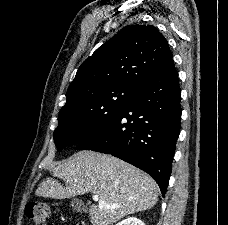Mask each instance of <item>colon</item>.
I'll list each match as a JSON object with an SVG mask.
<instances>
[{
  "mask_svg": "<svg viewBox=\"0 0 228 225\" xmlns=\"http://www.w3.org/2000/svg\"><path fill=\"white\" fill-rule=\"evenodd\" d=\"M26 215L32 221L33 225H49L50 209L42 201L31 200L26 207Z\"/></svg>",
  "mask_w": 228,
  "mask_h": 225,
  "instance_id": "5ec220e1",
  "label": "colon"
}]
</instances>
